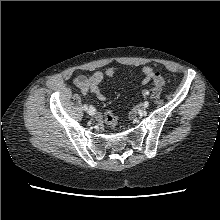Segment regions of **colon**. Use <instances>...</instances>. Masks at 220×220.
Listing matches in <instances>:
<instances>
[{
  "label": "colon",
  "instance_id": "obj_1",
  "mask_svg": "<svg viewBox=\"0 0 220 220\" xmlns=\"http://www.w3.org/2000/svg\"><path fill=\"white\" fill-rule=\"evenodd\" d=\"M166 81L164 78L156 79V86L164 87ZM104 120L111 131H114L117 128V116L113 110H107L104 114Z\"/></svg>",
  "mask_w": 220,
  "mask_h": 220
}]
</instances>
